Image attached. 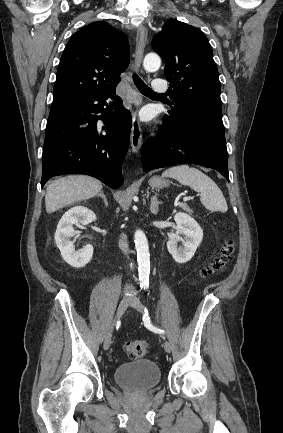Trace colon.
Masks as SVG:
<instances>
[{
  "label": "colon",
  "mask_w": 283,
  "mask_h": 433,
  "mask_svg": "<svg viewBox=\"0 0 283 433\" xmlns=\"http://www.w3.org/2000/svg\"><path fill=\"white\" fill-rule=\"evenodd\" d=\"M235 252V244L232 239H227L218 256L201 270L202 277H210L223 272L231 261ZM125 353L132 359H141L150 352V345L145 340H131L125 344Z\"/></svg>",
  "instance_id": "5ec220e1"
}]
</instances>
